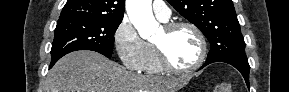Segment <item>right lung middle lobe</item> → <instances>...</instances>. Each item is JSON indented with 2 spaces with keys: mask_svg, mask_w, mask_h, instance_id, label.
<instances>
[{
  "mask_svg": "<svg viewBox=\"0 0 289 92\" xmlns=\"http://www.w3.org/2000/svg\"><path fill=\"white\" fill-rule=\"evenodd\" d=\"M122 20L70 18L58 20L51 49V61L77 50H92L107 57L113 51L114 36Z\"/></svg>",
  "mask_w": 289,
  "mask_h": 92,
  "instance_id": "1",
  "label": "right lung middle lobe"
}]
</instances>
